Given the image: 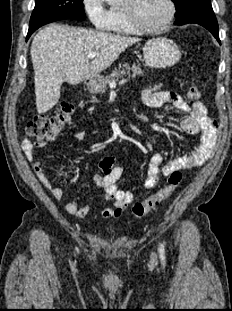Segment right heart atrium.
I'll use <instances>...</instances> for the list:
<instances>
[{
  "instance_id": "1",
  "label": "right heart atrium",
  "mask_w": 232,
  "mask_h": 311,
  "mask_svg": "<svg viewBox=\"0 0 232 311\" xmlns=\"http://www.w3.org/2000/svg\"><path fill=\"white\" fill-rule=\"evenodd\" d=\"M82 5L95 30L105 31L110 28L113 16L105 0H82Z\"/></svg>"
}]
</instances>
